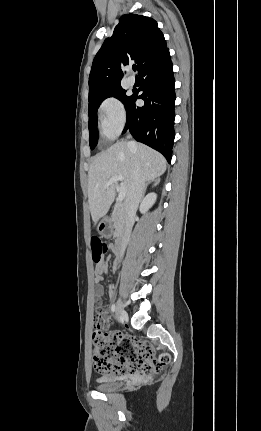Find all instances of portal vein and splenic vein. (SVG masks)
<instances>
[{
  "mask_svg": "<svg viewBox=\"0 0 261 431\" xmlns=\"http://www.w3.org/2000/svg\"><path fill=\"white\" fill-rule=\"evenodd\" d=\"M118 181H121V184L118 188V193H119L118 194V200H119V202H121L125 198L126 193H127L126 187L123 184V177L122 176L116 175V176L111 177V179L104 185V187L107 188L110 185H112Z\"/></svg>",
  "mask_w": 261,
  "mask_h": 431,
  "instance_id": "obj_1",
  "label": "portal vein and splenic vein"
}]
</instances>
